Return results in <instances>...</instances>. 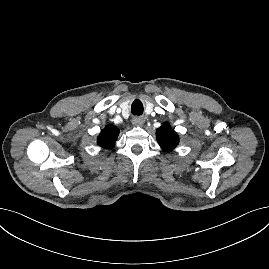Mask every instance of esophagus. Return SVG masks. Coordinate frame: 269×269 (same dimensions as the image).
I'll return each mask as SVG.
<instances>
[{
  "instance_id": "obj_1",
  "label": "esophagus",
  "mask_w": 269,
  "mask_h": 269,
  "mask_svg": "<svg viewBox=\"0 0 269 269\" xmlns=\"http://www.w3.org/2000/svg\"><path fill=\"white\" fill-rule=\"evenodd\" d=\"M144 122H145V118L144 117H134L132 119V124L134 126L140 127V126H142L144 124Z\"/></svg>"
}]
</instances>
